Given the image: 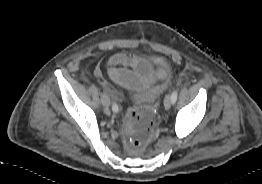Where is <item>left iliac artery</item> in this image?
Segmentation results:
<instances>
[{"mask_svg":"<svg viewBox=\"0 0 262 184\" xmlns=\"http://www.w3.org/2000/svg\"><path fill=\"white\" fill-rule=\"evenodd\" d=\"M177 96H178L177 90L173 91V92H172V95H171L172 104H174V103L176 102Z\"/></svg>","mask_w":262,"mask_h":184,"instance_id":"obj_1","label":"left iliac artery"}]
</instances>
